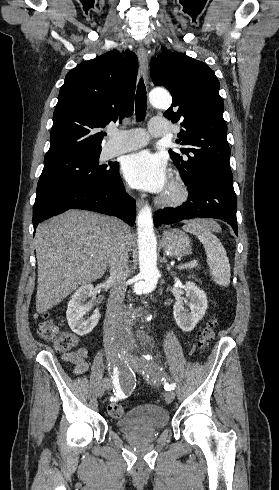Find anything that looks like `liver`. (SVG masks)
<instances>
[{
  "instance_id": "obj_1",
  "label": "liver",
  "mask_w": 279,
  "mask_h": 490,
  "mask_svg": "<svg viewBox=\"0 0 279 490\" xmlns=\"http://www.w3.org/2000/svg\"><path fill=\"white\" fill-rule=\"evenodd\" d=\"M114 220L94 212L68 210L39 224L35 234L37 312L54 308L81 284L102 278L116 242V230L125 232L129 250L130 228L126 224L117 228Z\"/></svg>"
}]
</instances>
